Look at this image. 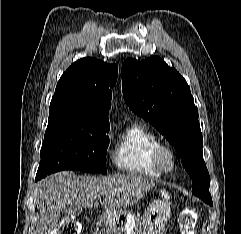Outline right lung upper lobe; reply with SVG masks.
I'll return each mask as SVG.
<instances>
[{"label":"right lung upper lobe","mask_w":241,"mask_h":234,"mask_svg":"<svg viewBox=\"0 0 241 234\" xmlns=\"http://www.w3.org/2000/svg\"><path fill=\"white\" fill-rule=\"evenodd\" d=\"M118 68L94 58L73 63L57 83L49 111H68L79 122L109 125L110 87L116 84Z\"/></svg>","instance_id":"right-lung-upper-lobe-1"}]
</instances>
